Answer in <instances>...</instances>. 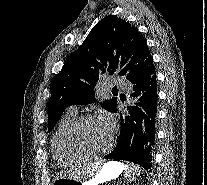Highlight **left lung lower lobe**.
<instances>
[{"label":"left lung lower lobe","instance_id":"1","mask_svg":"<svg viewBox=\"0 0 207 185\" xmlns=\"http://www.w3.org/2000/svg\"><path fill=\"white\" fill-rule=\"evenodd\" d=\"M133 84L131 96L136 100L128 106L116 148L105 158L134 162L151 172L154 154L157 121V81L154 65L130 80ZM122 101L126 96L122 95Z\"/></svg>","mask_w":207,"mask_h":185}]
</instances>
